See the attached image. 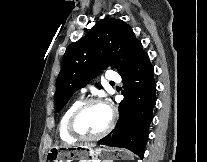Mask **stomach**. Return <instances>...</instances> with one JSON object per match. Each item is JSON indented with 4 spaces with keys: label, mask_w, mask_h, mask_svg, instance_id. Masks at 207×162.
Returning a JSON list of instances; mask_svg holds the SVG:
<instances>
[{
    "label": "stomach",
    "mask_w": 207,
    "mask_h": 162,
    "mask_svg": "<svg viewBox=\"0 0 207 162\" xmlns=\"http://www.w3.org/2000/svg\"><path fill=\"white\" fill-rule=\"evenodd\" d=\"M46 158L48 162H73L76 160L85 162H113V160L128 158V154L125 151H116L107 147L57 146L52 147L48 151Z\"/></svg>",
    "instance_id": "stomach-1"
}]
</instances>
